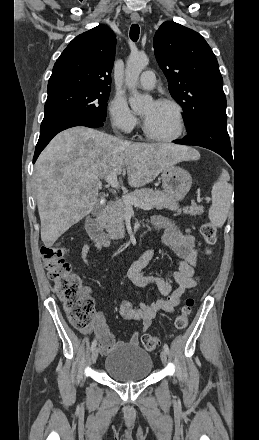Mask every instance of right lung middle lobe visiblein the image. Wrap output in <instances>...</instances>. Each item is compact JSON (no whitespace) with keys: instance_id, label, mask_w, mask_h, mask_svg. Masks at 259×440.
<instances>
[{"instance_id":"obj_1","label":"right lung middle lobe","mask_w":259,"mask_h":440,"mask_svg":"<svg viewBox=\"0 0 259 440\" xmlns=\"http://www.w3.org/2000/svg\"><path fill=\"white\" fill-rule=\"evenodd\" d=\"M110 90L66 89L48 94L44 119L64 115H81L104 122Z\"/></svg>"}]
</instances>
